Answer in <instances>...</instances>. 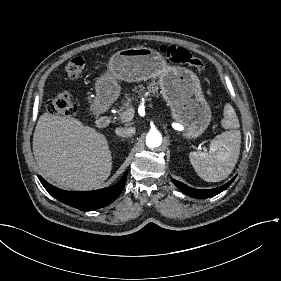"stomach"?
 I'll return each instance as SVG.
<instances>
[{"label":"stomach","instance_id":"1","mask_svg":"<svg viewBox=\"0 0 281 281\" xmlns=\"http://www.w3.org/2000/svg\"><path fill=\"white\" fill-rule=\"evenodd\" d=\"M109 69L108 75L97 80V98L93 104L96 113L105 111L118 97L120 87L115 77L133 82L160 74L163 97L175 120L187 126V136L195 137L209 125L210 108L201 94L199 79L184 68H165L156 51L144 47L122 50L111 57Z\"/></svg>","mask_w":281,"mask_h":281}]
</instances>
